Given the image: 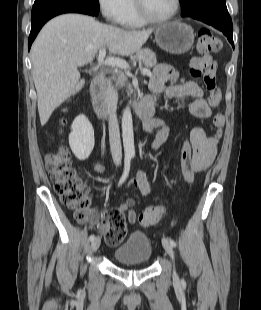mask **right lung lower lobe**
Listing matches in <instances>:
<instances>
[{
  "label": "right lung lower lobe",
  "instance_id": "98d812e1",
  "mask_svg": "<svg viewBox=\"0 0 261 310\" xmlns=\"http://www.w3.org/2000/svg\"><path fill=\"white\" fill-rule=\"evenodd\" d=\"M98 12V10L88 6L70 3L51 4L44 6L35 12H32V26L28 40V49H30L31 44L40 31L41 27L52 17L63 13H82L91 16H97Z\"/></svg>",
  "mask_w": 261,
  "mask_h": 310
}]
</instances>
